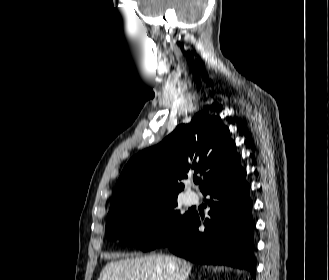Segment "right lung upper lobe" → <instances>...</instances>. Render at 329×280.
Returning <instances> with one entry per match:
<instances>
[{
	"mask_svg": "<svg viewBox=\"0 0 329 280\" xmlns=\"http://www.w3.org/2000/svg\"><path fill=\"white\" fill-rule=\"evenodd\" d=\"M235 142L220 117L198 112L157 146L132 157L114 188L109 212L150 196L177 197L187 174L204 175L201 191L239 164Z\"/></svg>",
	"mask_w": 329,
	"mask_h": 280,
	"instance_id": "1",
	"label": "right lung upper lobe"
}]
</instances>
